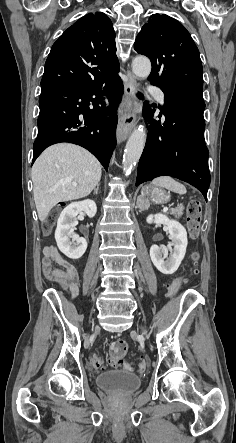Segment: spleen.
<instances>
[{
  "instance_id": "obj_1",
  "label": "spleen",
  "mask_w": 236,
  "mask_h": 443,
  "mask_svg": "<svg viewBox=\"0 0 236 443\" xmlns=\"http://www.w3.org/2000/svg\"><path fill=\"white\" fill-rule=\"evenodd\" d=\"M152 184L154 186H160L163 188H166L172 192L178 193V194H185L187 192L185 186L181 184L180 182L174 180L172 177L169 176H161L158 178H155L152 181Z\"/></svg>"
}]
</instances>
